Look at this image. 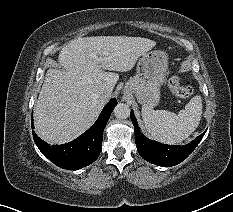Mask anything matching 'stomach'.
Returning <instances> with one entry per match:
<instances>
[{
	"label": "stomach",
	"instance_id": "1",
	"mask_svg": "<svg viewBox=\"0 0 233 212\" xmlns=\"http://www.w3.org/2000/svg\"><path fill=\"white\" fill-rule=\"evenodd\" d=\"M168 57L164 51L143 53L137 62L136 75L124 87L125 94H134L139 103L153 108L160 100V87L165 81Z\"/></svg>",
	"mask_w": 233,
	"mask_h": 212
}]
</instances>
